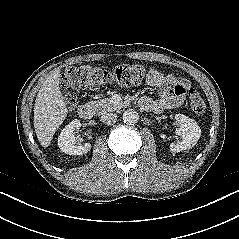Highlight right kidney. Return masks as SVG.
<instances>
[{
    "instance_id": "ca27d5eb",
    "label": "right kidney",
    "mask_w": 239,
    "mask_h": 239,
    "mask_svg": "<svg viewBox=\"0 0 239 239\" xmlns=\"http://www.w3.org/2000/svg\"><path fill=\"white\" fill-rule=\"evenodd\" d=\"M80 127V120L75 119L61 131L58 137V146L62 152L69 155H83L91 150V144L89 143L85 145H76V137L73 135V131Z\"/></svg>"
}]
</instances>
